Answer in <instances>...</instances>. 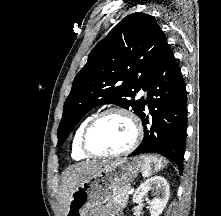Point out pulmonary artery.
Returning a JSON list of instances; mask_svg holds the SVG:
<instances>
[{"label":"pulmonary artery","instance_id":"pulmonary-artery-1","mask_svg":"<svg viewBox=\"0 0 221 216\" xmlns=\"http://www.w3.org/2000/svg\"><path fill=\"white\" fill-rule=\"evenodd\" d=\"M139 95H140V96H145V92L141 91V92L139 93Z\"/></svg>","mask_w":221,"mask_h":216}]
</instances>
